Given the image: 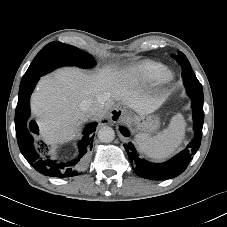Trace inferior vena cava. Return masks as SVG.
<instances>
[{
	"label": "inferior vena cava",
	"instance_id": "obj_1",
	"mask_svg": "<svg viewBox=\"0 0 227 227\" xmlns=\"http://www.w3.org/2000/svg\"><path fill=\"white\" fill-rule=\"evenodd\" d=\"M104 103L99 101H93L91 99L82 102L81 107L87 115H97L102 111Z\"/></svg>",
	"mask_w": 227,
	"mask_h": 227
}]
</instances>
